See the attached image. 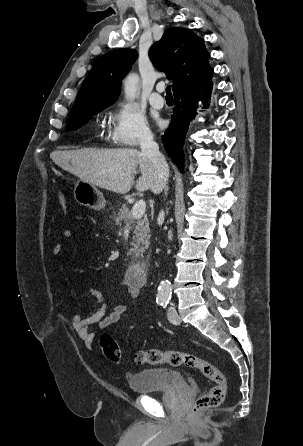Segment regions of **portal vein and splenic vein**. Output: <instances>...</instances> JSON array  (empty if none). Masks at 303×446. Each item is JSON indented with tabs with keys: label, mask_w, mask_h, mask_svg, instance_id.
<instances>
[{
	"label": "portal vein and splenic vein",
	"mask_w": 303,
	"mask_h": 446,
	"mask_svg": "<svg viewBox=\"0 0 303 446\" xmlns=\"http://www.w3.org/2000/svg\"><path fill=\"white\" fill-rule=\"evenodd\" d=\"M146 211V203L143 200L137 201L132 208V218L139 219L141 218Z\"/></svg>",
	"instance_id": "portal-vein-and-splenic-vein-1"
}]
</instances>
